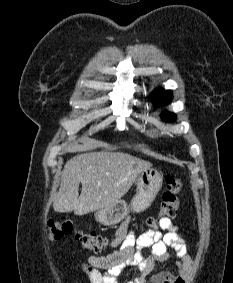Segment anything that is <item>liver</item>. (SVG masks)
Masks as SVG:
<instances>
[{
    "label": "liver",
    "mask_w": 233,
    "mask_h": 283,
    "mask_svg": "<svg viewBox=\"0 0 233 283\" xmlns=\"http://www.w3.org/2000/svg\"><path fill=\"white\" fill-rule=\"evenodd\" d=\"M151 167L123 152H90L71 158L61 174L59 191L51 199L56 212L82 216L118 202L139 173ZM82 191L79 196V184Z\"/></svg>",
    "instance_id": "1"
}]
</instances>
